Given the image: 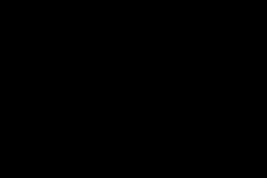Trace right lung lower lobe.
Returning a JSON list of instances; mask_svg holds the SVG:
<instances>
[{
    "instance_id": "98d812e1",
    "label": "right lung lower lobe",
    "mask_w": 267,
    "mask_h": 178,
    "mask_svg": "<svg viewBox=\"0 0 267 178\" xmlns=\"http://www.w3.org/2000/svg\"><path fill=\"white\" fill-rule=\"evenodd\" d=\"M109 83H110V85H113L114 82L113 81H110Z\"/></svg>"
}]
</instances>
